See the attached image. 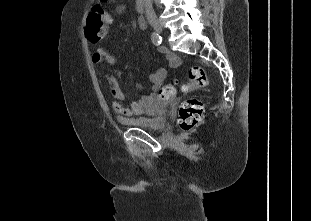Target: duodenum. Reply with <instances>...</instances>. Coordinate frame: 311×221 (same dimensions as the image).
<instances>
[{"label":"duodenum","instance_id":"obj_1","mask_svg":"<svg viewBox=\"0 0 311 221\" xmlns=\"http://www.w3.org/2000/svg\"><path fill=\"white\" fill-rule=\"evenodd\" d=\"M145 3H146V0H135V7L138 11H143L144 10V7H145ZM138 26L141 28V29H144L145 28V23L143 21H140L138 23Z\"/></svg>","mask_w":311,"mask_h":221}]
</instances>
